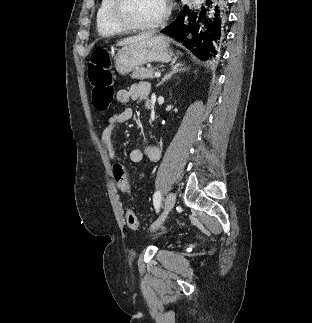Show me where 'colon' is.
<instances>
[{"instance_id":"colon-1","label":"colon","mask_w":312,"mask_h":323,"mask_svg":"<svg viewBox=\"0 0 312 323\" xmlns=\"http://www.w3.org/2000/svg\"><path fill=\"white\" fill-rule=\"evenodd\" d=\"M111 56L107 49L99 48L92 53L91 62L88 66L89 80L93 86L92 104L97 110H107L113 101L114 80L110 72ZM121 162H116L114 166V176L116 182L126 189L125 167L120 166ZM125 217L128 227L132 231H138L141 224L135 217L134 210H125Z\"/></svg>"}]
</instances>
